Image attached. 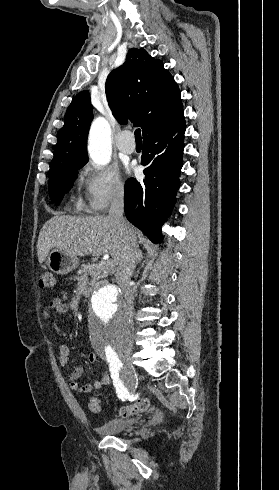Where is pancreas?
Returning a JSON list of instances; mask_svg holds the SVG:
<instances>
[{"label":"pancreas","instance_id":"1","mask_svg":"<svg viewBox=\"0 0 279 490\" xmlns=\"http://www.w3.org/2000/svg\"><path fill=\"white\" fill-rule=\"evenodd\" d=\"M110 270H113V266H108V264H101V266L99 264H82L78 274L82 278H91V284H95L99 278H107Z\"/></svg>","mask_w":279,"mask_h":490}]
</instances>
